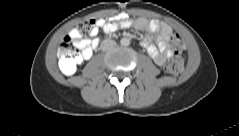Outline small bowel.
Masks as SVG:
<instances>
[{"mask_svg":"<svg viewBox=\"0 0 239 136\" xmlns=\"http://www.w3.org/2000/svg\"><path fill=\"white\" fill-rule=\"evenodd\" d=\"M130 26L148 33L142 39L141 45L157 65L162 66L173 56V51L169 45V41L173 36V30L167 23L158 20L137 18L131 21L126 17H122L118 22H106L104 19H98L96 21V28L92 33V39H81L75 30L70 32V36L81 49V58L86 60L92 56L94 49L99 43L97 35L100 29L105 33H112L120 28H129Z\"/></svg>","mask_w":239,"mask_h":136,"instance_id":"c3829d8e","label":"small bowel"}]
</instances>
